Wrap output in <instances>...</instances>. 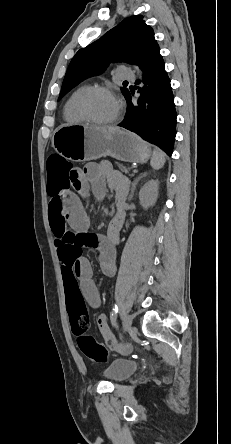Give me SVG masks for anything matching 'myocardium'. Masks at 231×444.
Segmentation results:
<instances>
[{"label":"myocardium","instance_id":"myocardium-1","mask_svg":"<svg viewBox=\"0 0 231 444\" xmlns=\"http://www.w3.org/2000/svg\"><path fill=\"white\" fill-rule=\"evenodd\" d=\"M99 92L108 93V94L112 95L113 97H115V99L118 103V111H117L116 115L109 120H105V121L95 120L94 118H92L90 116V114L87 110L86 104H87L88 99L94 93H99ZM76 109H77L79 116L84 120V122H88V123H91L94 125L106 126V125H112L119 120V118L121 117V114H122L123 106H122L120 99L118 98V96L116 95V93L113 91L112 88L107 87V86H102V85H96V86L88 87L80 95V97L77 101Z\"/></svg>","mask_w":231,"mask_h":444}]
</instances>
